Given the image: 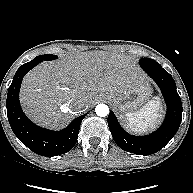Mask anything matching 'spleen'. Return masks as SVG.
<instances>
[{
	"label": "spleen",
	"instance_id": "obj_1",
	"mask_svg": "<svg viewBox=\"0 0 193 193\" xmlns=\"http://www.w3.org/2000/svg\"><path fill=\"white\" fill-rule=\"evenodd\" d=\"M160 101L153 99L145 104L139 111L128 113L126 119L128 128L133 133L143 134L154 129L158 123Z\"/></svg>",
	"mask_w": 193,
	"mask_h": 193
}]
</instances>
